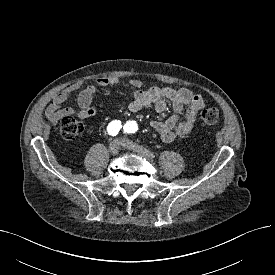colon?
Returning a JSON list of instances; mask_svg holds the SVG:
<instances>
[{
	"instance_id": "obj_1",
	"label": "colon",
	"mask_w": 275,
	"mask_h": 275,
	"mask_svg": "<svg viewBox=\"0 0 275 275\" xmlns=\"http://www.w3.org/2000/svg\"><path fill=\"white\" fill-rule=\"evenodd\" d=\"M202 122L207 126H214L220 121V113L216 108H205L200 114ZM82 132V125L71 116H66L60 123V134L64 139H74Z\"/></svg>"
}]
</instances>
